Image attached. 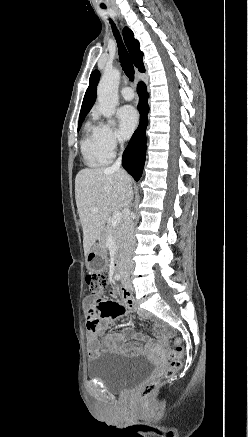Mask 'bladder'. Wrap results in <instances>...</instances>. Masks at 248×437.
<instances>
[{
  "mask_svg": "<svg viewBox=\"0 0 248 437\" xmlns=\"http://www.w3.org/2000/svg\"><path fill=\"white\" fill-rule=\"evenodd\" d=\"M156 370V365L145 356L102 352L89 362L87 374L108 391L121 393L151 378Z\"/></svg>",
  "mask_w": 248,
  "mask_h": 437,
  "instance_id": "1",
  "label": "bladder"
}]
</instances>
